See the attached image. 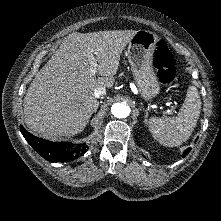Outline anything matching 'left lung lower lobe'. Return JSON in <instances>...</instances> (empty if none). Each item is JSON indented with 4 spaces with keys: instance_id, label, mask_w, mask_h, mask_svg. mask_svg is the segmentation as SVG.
Returning <instances> with one entry per match:
<instances>
[{
    "instance_id": "obj_1",
    "label": "left lung lower lobe",
    "mask_w": 221,
    "mask_h": 221,
    "mask_svg": "<svg viewBox=\"0 0 221 221\" xmlns=\"http://www.w3.org/2000/svg\"><path fill=\"white\" fill-rule=\"evenodd\" d=\"M190 150L191 148L186 149L184 153L182 154V157L184 158L189 153Z\"/></svg>"
}]
</instances>
